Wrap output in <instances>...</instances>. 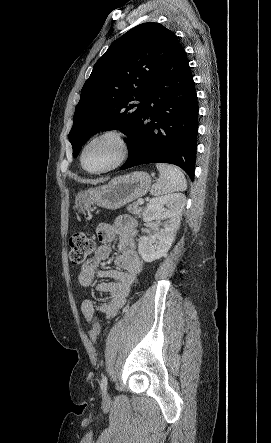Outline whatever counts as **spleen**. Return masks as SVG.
Wrapping results in <instances>:
<instances>
[{"label":"spleen","mask_w":271,"mask_h":443,"mask_svg":"<svg viewBox=\"0 0 271 443\" xmlns=\"http://www.w3.org/2000/svg\"><path fill=\"white\" fill-rule=\"evenodd\" d=\"M160 174L157 184L151 186V196H163V194H172V192H184L187 190V182L184 174L175 166L167 164H156Z\"/></svg>","instance_id":"1"}]
</instances>
